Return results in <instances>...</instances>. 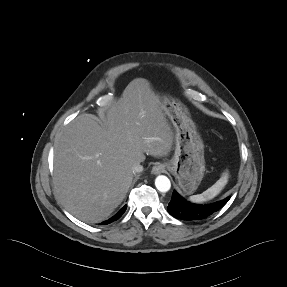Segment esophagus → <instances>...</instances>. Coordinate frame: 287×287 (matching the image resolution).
Instances as JSON below:
<instances>
[{"instance_id":"34e87169","label":"esophagus","mask_w":287,"mask_h":287,"mask_svg":"<svg viewBox=\"0 0 287 287\" xmlns=\"http://www.w3.org/2000/svg\"><path fill=\"white\" fill-rule=\"evenodd\" d=\"M165 172V166L161 163H157L153 168H152V173L157 175L160 173Z\"/></svg>"}]
</instances>
